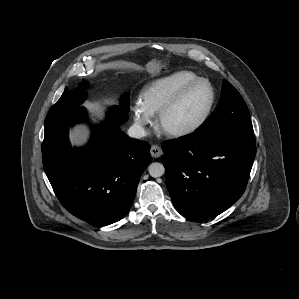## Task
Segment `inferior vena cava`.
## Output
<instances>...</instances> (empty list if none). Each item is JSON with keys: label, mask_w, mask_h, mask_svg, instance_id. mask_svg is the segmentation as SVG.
Wrapping results in <instances>:
<instances>
[{"label": "inferior vena cava", "mask_w": 299, "mask_h": 299, "mask_svg": "<svg viewBox=\"0 0 299 299\" xmlns=\"http://www.w3.org/2000/svg\"><path fill=\"white\" fill-rule=\"evenodd\" d=\"M128 135L132 138L140 139L146 136L147 132L141 125L134 124L129 128Z\"/></svg>", "instance_id": "inferior-vena-cava-1"}]
</instances>
